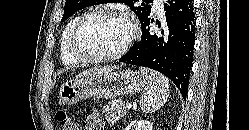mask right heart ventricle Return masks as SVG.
<instances>
[{
    "label": "right heart ventricle",
    "mask_w": 249,
    "mask_h": 130,
    "mask_svg": "<svg viewBox=\"0 0 249 130\" xmlns=\"http://www.w3.org/2000/svg\"><path fill=\"white\" fill-rule=\"evenodd\" d=\"M82 16V14H78L74 16L64 27L62 34L60 36V42H59V50H60V58L61 61L65 65H76L79 60L76 59L69 50V41L71 37V33L73 31V28L79 18Z\"/></svg>",
    "instance_id": "right-heart-ventricle-1"
}]
</instances>
